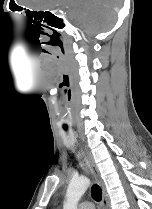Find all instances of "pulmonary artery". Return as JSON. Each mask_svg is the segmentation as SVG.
<instances>
[{
	"mask_svg": "<svg viewBox=\"0 0 152 209\" xmlns=\"http://www.w3.org/2000/svg\"><path fill=\"white\" fill-rule=\"evenodd\" d=\"M78 209H95L93 203L82 202L79 204Z\"/></svg>",
	"mask_w": 152,
	"mask_h": 209,
	"instance_id": "pulmonary-artery-1",
	"label": "pulmonary artery"
}]
</instances>
